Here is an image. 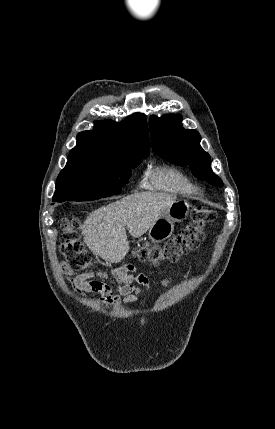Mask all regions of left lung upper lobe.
Instances as JSON below:
<instances>
[{"label": "left lung upper lobe", "instance_id": "obj_1", "mask_svg": "<svg viewBox=\"0 0 275 429\" xmlns=\"http://www.w3.org/2000/svg\"><path fill=\"white\" fill-rule=\"evenodd\" d=\"M180 115L151 116L149 125L156 153L176 165H188L200 180L222 187V180L211 169V159L200 146V134L185 130Z\"/></svg>", "mask_w": 275, "mask_h": 429}]
</instances>
